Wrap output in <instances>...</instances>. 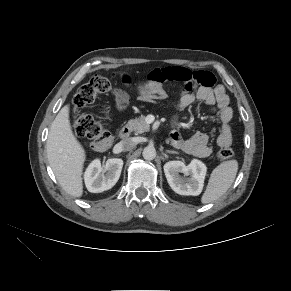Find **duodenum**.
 <instances>
[{"label":"duodenum","mask_w":291,"mask_h":291,"mask_svg":"<svg viewBox=\"0 0 291 291\" xmlns=\"http://www.w3.org/2000/svg\"><path fill=\"white\" fill-rule=\"evenodd\" d=\"M130 135V128L128 126H124L119 133L121 139H127Z\"/></svg>","instance_id":"duodenum-1"}]
</instances>
